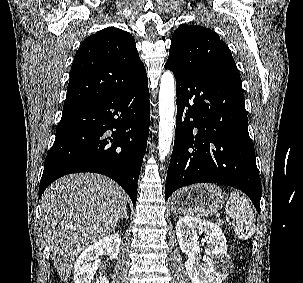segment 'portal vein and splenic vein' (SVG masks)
<instances>
[{"label": "portal vein and splenic vein", "instance_id": "1", "mask_svg": "<svg viewBox=\"0 0 303 283\" xmlns=\"http://www.w3.org/2000/svg\"><path fill=\"white\" fill-rule=\"evenodd\" d=\"M218 223H222L223 221L221 219L218 218L217 220Z\"/></svg>", "mask_w": 303, "mask_h": 283}]
</instances>
